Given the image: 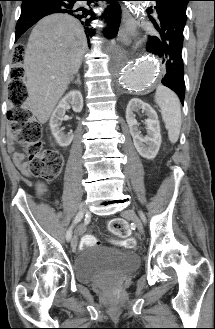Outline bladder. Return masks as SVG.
Listing matches in <instances>:
<instances>
[{
    "label": "bladder",
    "instance_id": "1",
    "mask_svg": "<svg viewBox=\"0 0 215 329\" xmlns=\"http://www.w3.org/2000/svg\"><path fill=\"white\" fill-rule=\"evenodd\" d=\"M139 263L137 255L100 246L87 247L75 258L74 273L79 282L88 284L106 274L132 272Z\"/></svg>",
    "mask_w": 215,
    "mask_h": 329
}]
</instances>
